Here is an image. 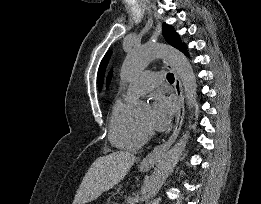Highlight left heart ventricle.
<instances>
[{
  "mask_svg": "<svg viewBox=\"0 0 261 204\" xmlns=\"http://www.w3.org/2000/svg\"><path fill=\"white\" fill-rule=\"evenodd\" d=\"M150 120H151V112H145L140 118L139 121L147 126L150 127Z\"/></svg>",
  "mask_w": 261,
  "mask_h": 204,
  "instance_id": "obj_1",
  "label": "left heart ventricle"
}]
</instances>
